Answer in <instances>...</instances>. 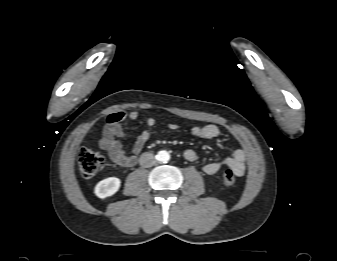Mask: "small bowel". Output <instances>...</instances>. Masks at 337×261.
<instances>
[{
    "instance_id": "c3829d8e",
    "label": "small bowel",
    "mask_w": 337,
    "mask_h": 261,
    "mask_svg": "<svg viewBox=\"0 0 337 261\" xmlns=\"http://www.w3.org/2000/svg\"><path fill=\"white\" fill-rule=\"evenodd\" d=\"M138 113L132 111H119L110 114L107 117V122L103 130V136L100 140V146L107 151L109 157L116 164L123 167H132L136 163V155L141 151L144 145L151 137L150 129L156 125V120L153 117L146 119L148 129L142 131L131 140V148L129 151L123 147V142L129 141L130 138L125 132L122 122L125 120H136ZM178 124L170 123L166 125L168 130L174 131L178 129ZM193 136L201 139H214L219 136L220 131L213 124L205 126H194L191 130ZM184 158L189 162H195L198 158L196 151L187 149L184 151ZM246 155L241 149H237L231 156L224 157L220 160L211 161L203 167V171L207 175L216 174L221 166H227L236 176H243L245 173Z\"/></svg>"
}]
</instances>
